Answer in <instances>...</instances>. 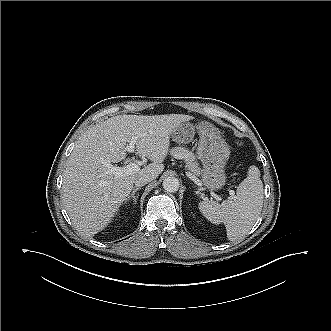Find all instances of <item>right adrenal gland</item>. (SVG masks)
<instances>
[{
  "mask_svg": "<svg viewBox=\"0 0 331 331\" xmlns=\"http://www.w3.org/2000/svg\"><path fill=\"white\" fill-rule=\"evenodd\" d=\"M140 189H141V187H134L133 190H132V192L130 193V195H129V197H128V200L132 198L133 201L136 203V201H137V196H135V193H136L137 191H139Z\"/></svg>",
  "mask_w": 331,
  "mask_h": 331,
  "instance_id": "right-adrenal-gland-1",
  "label": "right adrenal gland"
}]
</instances>
